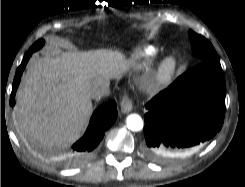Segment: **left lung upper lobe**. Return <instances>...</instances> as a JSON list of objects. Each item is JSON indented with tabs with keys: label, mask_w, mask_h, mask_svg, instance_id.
Masks as SVG:
<instances>
[{
	"label": "left lung upper lobe",
	"mask_w": 245,
	"mask_h": 187,
	"mask_svg": "<svg viewBox=\"0 0 245 187\" xmlns=\"http://www.w3.org/2000/svg\"><path fill=\"white\" fill-rule=\"evenodd\" d=\"M189 38L192 43V51L201 62L217 58V53L212 44L203 36L189 30Z\"/></svg>",
	"instance_id": "obj_1"
}]
</instances>
